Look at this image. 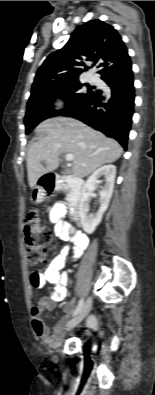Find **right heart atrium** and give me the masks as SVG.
<instances>
[{"mask_svg":"<svg viewBox=\"0 0 155 395\" xmlns=\"http://www.w3.org/2000/svg\"><path fill=\"white\" fill-rule=\"evenodd\" d=\"M63 104V101L61 99H57L56 102L54 103V109H58L61 107Z\"/></svg>","mask_w":155,"mask_h":395,"instance_id":"1","label":"right heart atrium"}]
</instances>
